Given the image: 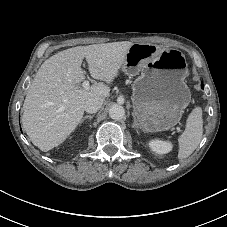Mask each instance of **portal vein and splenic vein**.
<instances>
[{
    "mask_svg": "<svg viewBox=\"0 0 227 227\" xmlns=\"http://www.w3.org/2000/svg\"><path fill=\"white\" fill-rule=\"evenodd\" d=\"M82 86L84 89H88L90 84H89V81L88 80H84L83 83H82ZM177 130L179 131L180 129L177 128Z\"/></svg>",
    "mask_w": 227,
    "mask_h": 227,
    "instance_id": "obj_1",
    "label": "portal vein and splenic vein"
}]
</instances>
